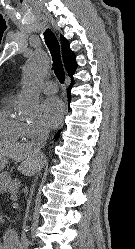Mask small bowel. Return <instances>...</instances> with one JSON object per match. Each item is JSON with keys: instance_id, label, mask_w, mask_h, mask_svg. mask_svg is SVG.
Returning a JSON list of instances; mask_svg holds the SVG:
<instances>
[{"instance_id": "1", "label": "small bowel", "mask_w": 135, "mask_h": 249, "mask_svg": "<svg viewBox=\"0 0 135 249\" xmlns=\"http://www.w3.org/2000/svg\"><path fill=\"white\" fill-rule=\"evenodd\" d=\"M0 249H4V247L2 246V244L0 243Z\"/></svg>"}]
</instances>
